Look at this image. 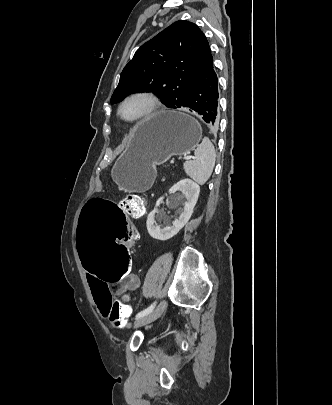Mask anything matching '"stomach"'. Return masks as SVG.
I'll return each instance as SVG.
<instances>
[{"mask_svg":"<svg viewBox=\"0 0 332 405\" xmlns=\"http://www.w3.org/2000/svg\"><path fill=\"white\" fill-rule=\"evenodd\" d=\"M201 139V125L186 111L155 113L136 124L125 152L111 170V177L123 191H145L154 182L157 165L172 156L188 154Z\"/></svg>","mask_w":332,"mask_h":405,"instance_id":"stomach-1","label":"stomach"}]
</instances>
